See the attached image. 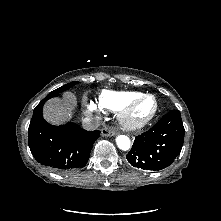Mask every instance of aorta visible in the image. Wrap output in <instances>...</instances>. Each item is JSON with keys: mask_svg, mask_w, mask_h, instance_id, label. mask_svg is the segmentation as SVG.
Instances as JSON below:
<instances>
[{"mask_svg": "<svg viewBox=\"0 0 221 221\" xmlns=\"http://www.w3.org/2000/svg\"><path fill=\"white\" fill-rule=\"evenodd\" d=\"M116 144L119 149L127 151L131 147V141L130 139L125 135H119L116 138Z\"/></svg>", "mask_w": 221, "mask_h": 221, "instance_id": "obj_1", "label": "aorta"}]
</instances>
